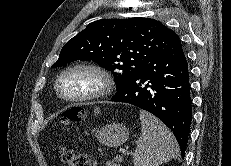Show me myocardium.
<instances>
[{
	"label": "myocardium",
	"instance_id": "f54148a6",
	"mask_svg": "<svg viewBox=\"0 0 231 166\" xmlns=\"http://www.w3.org/2000/svg\"><path fill=\"white\" fill-rule=\"evenodd\" d=\"M74 71H86L91 73L97 79V87L81 95H64L60 90L61 80L69 73ZM55 91L57 96L66 102L81 103L98 100L110 95L114 89V78L112 74L103 66L94 62H78L65 67L56 77Z\"/></svg>",
	"mask_w": 231,
	"mask_h": 166
}]
</instances>
